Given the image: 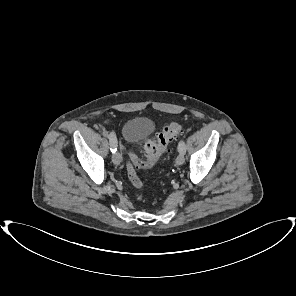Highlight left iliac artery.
<instances>
[{
  "instance_id": "obj_1",
  "label": "left iliac artery",
  "mask_w": 296,
  "mask_h": 296,
  "mask_svg": "<svg viewBox=\"0 0 296 296\" xmlns=\"http://www.w3.org/2000/svg\"><path fill=\"white\" fill-rule=\"evenodd\" d=\"M178 151L183 154L186 152L185 142L183 140H181L178 144Z\"/></svg>"
}]
</instances>
